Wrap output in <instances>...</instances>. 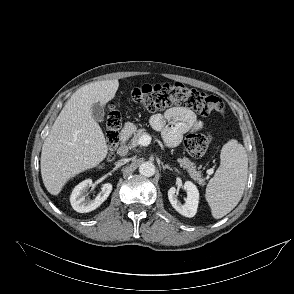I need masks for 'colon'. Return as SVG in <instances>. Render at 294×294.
I'll return each mask as SVG.
<instances>
[{"label":"colon","mask_w":294,"mask_h":294,"mask_svg":"<svg viewBox=\"0 0 294 294\" xmlns=\"http://www.w3.org/2000/svg\"><path fill=\"white\" fill-rule=\"evenodd\" d=\"M132 98L149 112L158 111L173 104H183L202 115L222 114L225 111L224 103L219 97L181 83L142 85L133 90ZM120 125V113L112 108L106 120V140L111 152L117 145ZM210 142L209 134L192 133L186 137L185 148L191 156L198 158L205 154Z\"/></svg>","instance_id":"obj_1"}]
</instances>
